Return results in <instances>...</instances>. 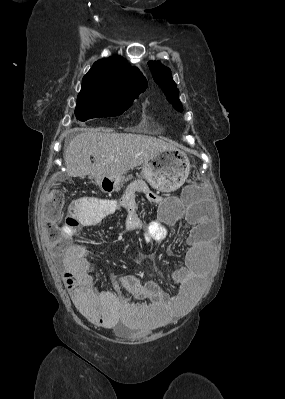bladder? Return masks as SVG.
I'll return each mask as SVG.
<instances>
[{
    "mask_svg": "<svg viewBox=\"0 0 285 399\" xmlns=\"http://www.w3.org/2000/svg\"><path fill=\"white\" fill-rule=\"evenodd\" d=\"M134 330L135 329L126 322H120L116 328V332L123 336L130 335Z\"/></svg>",
    "mask_w": 285,
    "mask_h": 399,
    "instance_id": "obj_1",
    "label": "bladder"
}]
</instances>
